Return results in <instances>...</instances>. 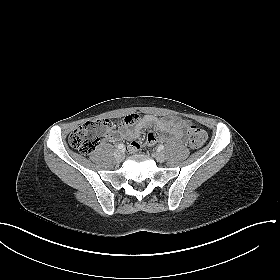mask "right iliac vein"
<instances>
[{
  "label": "right iliac vein",
  "instance_id": "63e3f726",
  "mask_svg": "<svg viewBox=\"0 0 280 280\" xmlns=\"http://www.w3.org/2000/svg\"><path fill=\"white\" fill-rule=\"evenodd\" d=\"M114 156L118 162H121L124 158V152L122 150H116Z\"/></svg>",
  "mask_w": 280,
  "mask_h": 280
}]
</instances>
